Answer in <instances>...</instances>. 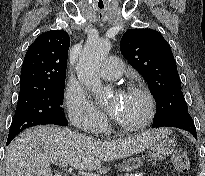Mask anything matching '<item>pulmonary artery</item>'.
<instances>
[{"label": "pulmonary artery", "instance_id": "1", "mask_svg": "<svg viewBox=\"0 0 205 176\" xmlns=\"http://www.w3.org/2000/svg\"><path fill=\"white\" fill-rule=\"evenodd\" d=\"M100 75L108 80L120 78L124 72L122 61L116 56H110L102 63Z\"/></svg>", "mask_w": 205, "mask_h": 176}]
</instances>
